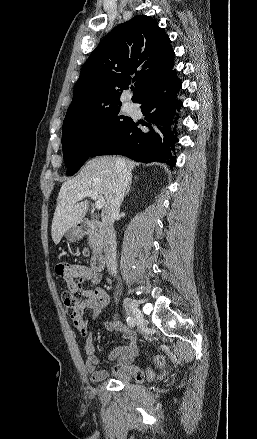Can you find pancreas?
<instances>
[{
	"mask_svg": "<svg viewBox=\"0 0 257 439\" xmlns=\"http://www.w3.org/2000/svg\"><path fill=\"white\" fill-rule=\"evenodd\" d=\"M88 240L90 241V245H92L91 236H89Z\"/></svg>",
	"mask_w": 257,
	"mask_h": 439,
	"instance_id": "1",
	"label": "pancreas"
}]
</instances>
